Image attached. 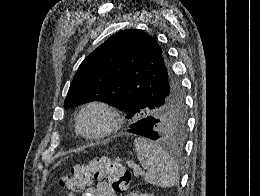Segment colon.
Wrapping results in <instances>:
<instances>
[{
    "mask_svg": "<svg viewBox=\"0 0 260 196\" xmlns=\"http://www.w3.org/2000/svg\"><path fill=\"white\" fill-rule=\"evenodd\" d=\"M129 177L130 170L124 163L109 159H95L87 165L75 167L72 173L60 179V184L72 192H79L94 182H109L115 190L123 191L128 185Z\"/></svg>",
    "mask_w": 260,
    "mask_h": 196,
    "instance_id": "5ec220e1",
    "label": "colon"
}]
</instances>
